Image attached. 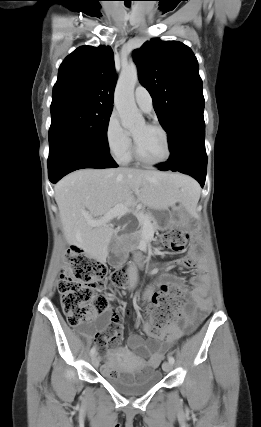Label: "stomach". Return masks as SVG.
Instances as JSON below:
<instances>
[{
    "label": "stomach",
    "instance_id": "stomach-1",
    "mask_svg": "<svg viewBox=\"0 0 261 427\" xmlns=\"http://www.w3.org/2000/svg\"><path fill=\"white\" fill-rule=\"evenodd\" d=\"M182 206V204H180V203H176V205L173 207L174 209H178V208H180ZM154 215H155V217H157L158 215H159V213L158 212H155L154 213ZM153 220H155L154 218H153Z\"/></svg>",
    "mask_w": 261,
    "mask_h": 427
}]
</instances>
